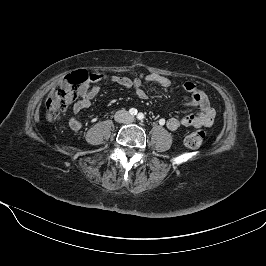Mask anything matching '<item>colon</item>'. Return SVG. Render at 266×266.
Segmentation results:
<instances>
[{
	"label": "colon",
	"mask_w": 266,
	"mask_h": 266,
	"mask_svg": "<svg viewBox=\"0 0 266 266\" xmlns=\"http://www.w3.org/2000/svg\"><path fill=\"white\" fill-rule=\"evenodd\" d=\"M94 75L93 73L79 70L66 76L47 97V119L49 121L59 120L61 114L76 100L81 90L94 80ZM204 137L203 131H194L185 138V145L190 149H198L202 145Z\"/></svg>",
	"instance_id": "obj_1"
}]
</instances>
